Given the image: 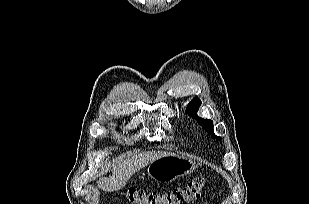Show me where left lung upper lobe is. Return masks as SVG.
I'll list each match as a JSON object with an SVG mask.
<instances>
[{
	"mask_svg": "<svg viewBox=\"0 0 309 204\" xmlns=\"http://www.w3.org/2000/svg\"><path fill=\"white\" fill-rule=\"evenodd\" d=\"M201 105V100L197 97L193 98L192 101L186 107V113L193 118L197 119L198 123L206 129L213 138L221 139V137L216 136L213 132V121L208 119H203L197 116V111Z\"/></svg>",
	"mask_w": 309,
	"mask_h": 204,
	"instance_id": "obj_1",
	"label": "left lung upper lobe"
}]
</instances>
